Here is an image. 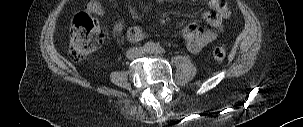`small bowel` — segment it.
<instances>
[{
  "instance_id": "1",
  "label": "small bowel",
  "mask_w": 303,
  "mask_h": 127,
  "mask_svg": "<svg viewBox=\"0 0 303 127\" xmlns=\"http://www.w3.org/2000/svg\"><path fill=\"white\" fill-rule=\"evenodd\" d=\"M157 1L161 2L163 0ZM86 8L88 12L97 16H102L104 13V8L98 0H90ZM229 14V9L221 0H210L209 9L203 13V18L207 22L208 27L203 28L194 23H190L183 29L187 49L191 53H197L213 41L221 32L223 20L227 18ZM112 31L115 35L121 34L124 31V24L122 22L115 23ZM127 38L131 42H139L144 38V31L138 25L132 26L127 30Z\"/></svg>"
}]
</instances>
